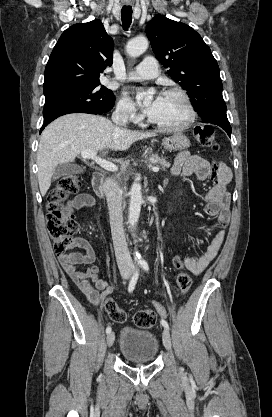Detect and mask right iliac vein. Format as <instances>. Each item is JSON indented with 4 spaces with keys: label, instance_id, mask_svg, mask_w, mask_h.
Instances as JSON below:
<instances>
[{
    "label": "right iliac vein",
    "instance_id": "obj_1",
    "mask_svg": "<svg viewBox=\"0 0 272 417\" xmlns=\"http://www.w3.org/2000/svg\"><path fill=\"white\" fill-rule=\"evenodd\" d=\"M114 340H115V334H114V332H110L107 335V345H108V347H111L113 345Z\"/></svg>",
    "mask_w": 272,
    "mask_h": 417
}]
</instances>
